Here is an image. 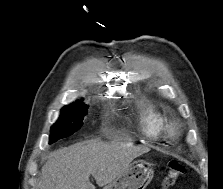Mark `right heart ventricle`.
Here are the masks:
<instances>
[{"label":"right heart ventricle","mask_w":223,"mask_h":189,"mask_svg":"<svg viewBox=\"0 0 223 189\" xmlns=\"http://www.w3.org/2000/svg\"><path fill=\"white\" fill-rule=\"evenodd\" d=\"M169 119L155 104L141 103L135 113V125L140 136L148 142L166 140Z\"/></svg>","instance_id":"right-heart-ventricle-1"}]
</instances>
